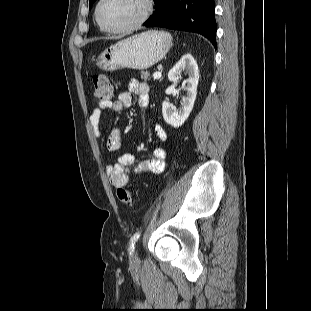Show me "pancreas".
I'll list each match as a JSON object with an SVG mask.
<instances>
[{
  "label": "pancreas",
  "mask_w": 311,
  "mask_h": 311,
  "mask_svg": "<svg viewBox=\"0 0 311 311\" xmlns=\"http://www.w3.org/2000/svg\"><path fill=\"white\" fill-rule=\"evenodd\" d=\"M141 78L144 79L145 81H150L151 79L150 74L147 71L141 72Z\"/></svg>",
  "instance_id": "1"
}]
</instances>
